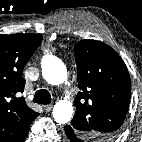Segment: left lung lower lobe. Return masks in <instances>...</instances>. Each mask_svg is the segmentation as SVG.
<instances>
[{"label": "left lung lower lobe", "instance_id": "left-lung-lower-lobe-1", "mask_svg": "<svg viewBox=\"0 0 142 142\" xmlns=\"http://www.w3.org/2000/svg\"><path fill=\"white\" fill-rule=\"evenodd\" d=\"M67 142H84L83 138H81L71 126L66 125L64 127Z\"/></svg>", "mask_w": 142, "mask_h": 142}]
</instances>
